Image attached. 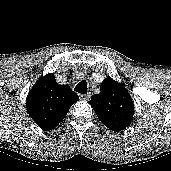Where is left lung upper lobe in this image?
<instances>
[{
  "instance_id": "left-lung-upper-lobe-1",
  "label": "left lung upper lobe",
  "mask_w": 171,
  "mask_h": 171,
  "mask_svg": "<svg viewBox=\"0 0 171 171\" xmlns=\"http://www.w3.org/2000/svg\"><path fill=\"white\" fill-rule=\"evenodd\" d=\"M101 92L93 95L90 105L99 120L112 131H122L132 121L134 104L128 90L112 78H106L101 86Z\"/></svg>"
}]
</instances>
